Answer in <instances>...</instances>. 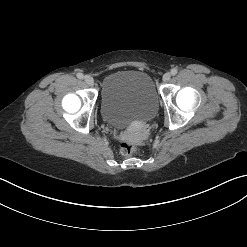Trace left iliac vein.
I'll return each instance as SVG.
<instances>
[{"mask_svg":"<svg viewBox=\"0 0 247 247\" xmlns=\"http://www.w3.org/2000/svg\"><path fill=\"white\" fill-rule=\"evenodd\" d=\"M171 78V73L170 72H166L164 75H163V81L164 82H168Z\"/></svg>","mask_w":247,"mask_h":247,"instance_id":"4c4485c4","label":"left iliac vein"}]
</instances>
